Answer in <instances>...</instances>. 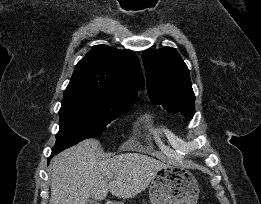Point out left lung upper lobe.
I'll return each instance as SVG.
<instances>
[{
    "label": "left lung upper lobe",
    "instance_id": "1",
    "mask_svg": "<svg viewBox=\"0 0 261 204\" xmlns=\"http://www.w3.org/2000/svg\"><path fill=\"white\" fill-rule=\"evenodd\" d=\"M147 90L151 101L168 112H180L187 118L195 113V95L189 70L176 49L163 47L143 52Z\"/></svg>",
    "mask_w": 261,
    "mask_h": 204
}]
</instances>
